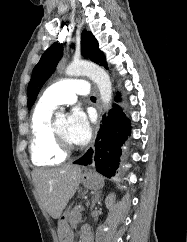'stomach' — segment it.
Returning a JSON list of instances; mask_svg holds the SVG:
<instances>
[{
  "instance_id": "stomach-1",
  "label": "stomach",
  "mask_w": 187,
  "mask_h": 242,
  "mask_svg": "<svg viewBox=\"0 0 187 242\" xmlns=\"http://www.w3.org/2000/svg\"><path fill=\"white\" fill-rule=\"evenodd\" d=\"M81 182L87 189L98 190L103 187L102 178L93 171L85 172L81 175ZM71 219V212L68 209L58 221V237L59 242H73L74 233L69 225Z\"/></svg>"
}]
</instances>
